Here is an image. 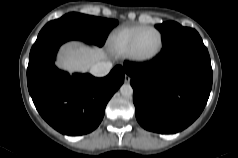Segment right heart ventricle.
<instances>
[{"label":"right heart ventricle","instance_id":"1","mask_svg":"<svg viewBox=\"0 0 238 158\" xmlns=\"http://www.w3.org/2000/svg\"><path fill=\"white\" fill-rule=\"evenodd\" d=\"M142 25L123 26L115 30L108 39L109 49L117 55H127L131 41Z\"/></svg>","mask_w":238,"mask_h":158}]
</instances>
